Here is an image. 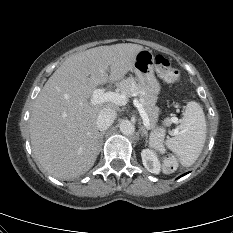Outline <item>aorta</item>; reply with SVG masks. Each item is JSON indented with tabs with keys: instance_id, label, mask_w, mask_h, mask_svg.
<instances>
[{
	"instance_id": "obj_1",
	"label": "aorta",
	"mask_w": 233,
	"mask_h": 233,
	"mask_svg": "<svg viewBox=\"0 0 233 233\" xmlns=\"http://www.w3.org/2000/svg\"><path fill=\"white\" fill-rule=\"evenodd\" d=\"M120 131L124 134V135H132L135 132V126L134 124L129 121V120H123L120 123Z\"/></svg>"
}]
</instances>
